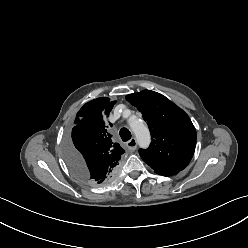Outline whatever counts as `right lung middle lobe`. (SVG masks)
Masks as SVG:
<instances>
[{
	"instance_id": "right-lung-middle-lobe-1",
	"label": "right lung middle lobe",
	"mask_w": 248,
	"mask_h": 248,
	"mask_svg": "<svg viewBox=\"0 0 248 248\" xmlns=\"http://www.w3.org/2000/svg\"><path fill=\"white\" fill-rule=\"evenodd\" d=\"M64 154H65V159L67 163L72 166V160H71V155H72V149L70 143H66L65 149H64Z\"/></svg>"
}]
</instances>
